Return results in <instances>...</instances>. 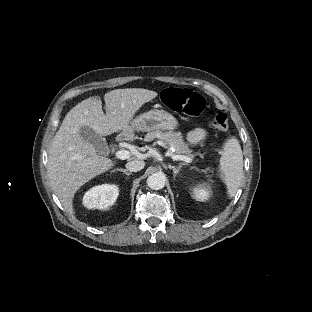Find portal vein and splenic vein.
I'll list each match as a JSON object with an SVG mask.
<instances>
[{"mask_svg": "<svg viewBox=\"0 0 312 312\" xmlns=\"http://www.w3.org/2000/svg\"><path fill=\"white\" fill-rule=\"evenodd\" d=\"M173 160L177 161H185L187 163H194V160L192 157H188L186 155H171ZM115 157L120 159V160H125L129 157V152L126 150H118L115 152Z\"/></svg>", "mask_w": 312, "mask_h": 312, "instance_id": "18ae733b", "label": "portal vein and splenic vein"}]
</instances>
